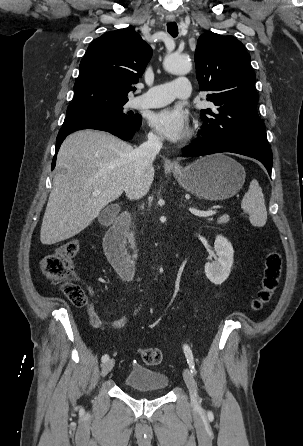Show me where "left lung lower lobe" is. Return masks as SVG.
Instances as JSON below:
<instances>
[{
    "label": "left lung lower lobe",
    "instance_id": "1",
    "mask_svg": "<svg viewBox=\"0 0 303 446\" xmlns=\"http://www.w3.org/2000/svg\"><path fill=\"white\" fill-rule=\"evenodd\" d=\"M183 157H197L220 152H232L259 160L271 175L272 152L269 144L249 141L209 139L200 137L182 150Z\"/></svg>",
    "mask_w": 303,
    "mask_h": 446
}]
</instances>
